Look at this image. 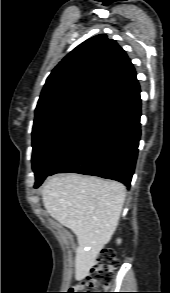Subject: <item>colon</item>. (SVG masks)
Returning <instances> with one entry per match:
<instances>
[{"instance_id": "5ec220e1", "label": "colon", "mask_w": 170, "mask_h": 293, "mask_svg": "<svg viewBox=\"0 0 170 293\" xmlns=\"http://www.w3.org/2000/svg\"><path fill=\"white\" fill-rule=\"evenodd\" d=\"M118 264L115 251L103 248L90 268L87 277L71 289L72 293H104L100 292L110 286L113 281V270Z\"/></svg>"}]
</instances>
